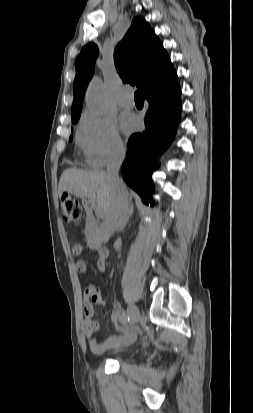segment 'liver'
Listing matches in <instances>:
<instances>
[{
  "instance_id": "liver-1",
  "label": "liver",
  "mask_w": 253,
  "mask_h": 413,
  "mask_svg": "<svg viewBox=\"0 0 253 413\" xmlns=\"http://www.w3.org/2000/svg\"><path fill=\"white\" fill-rule=\"evenodd\" d=\"M64 192L82 199H96L98 208L104 214H107L114 197L111 182L107 173L103 171H83L73 168L65 170L58 184V195L61 196Z\"/></svg>"
}]
</instances>
